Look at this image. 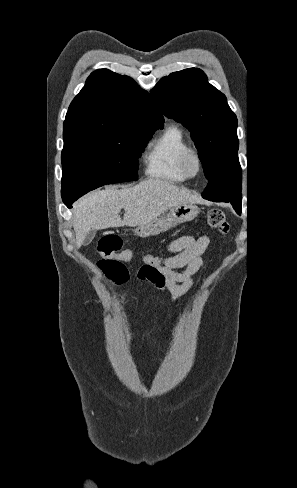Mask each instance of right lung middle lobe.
<instances>
[{
  "label": "right lung middle lobe",
  "mask_w": 297,
  "mask_h": 488,
  "mask_svg": "<svg viewBox=\"0 0 297 488\" xmlns=\"http://www.w3.org/2000/svg\"><path fill=\"white\" fill-rule=\"evenodd\" d=\"M159 126L143 125L124 134L64 141L62 189L64 204L105 184L138 179V158Z\"/></svg>",
  "instance_id": "right-lung-middle-lobe-1"
}]
</instances>
